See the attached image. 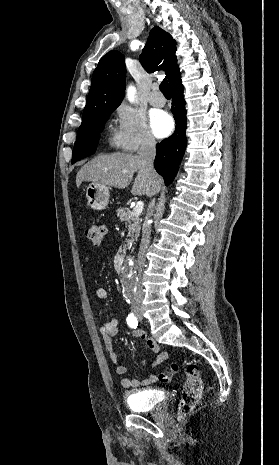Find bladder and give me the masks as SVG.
Returning a JSON list of instances; mask_svg holds the SVG:
<instances>
[{"label":"bladder","mask_w":279,"mask_h":465,"mask_svg":"<svg viewBox=\"0 0 279 465\" xmlns=\"http://www.w3.org/2000/svg\"><path fill=\"white\" fill-rule=\"evenodd\" d=\"M125 400L133 412H162L167 406L168 395L156 389L134 390L126 393Z\"/></svg>","instance_id":"bladder-1"}]
</instances>
